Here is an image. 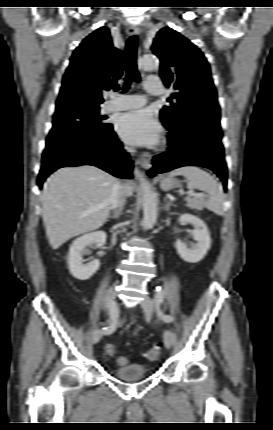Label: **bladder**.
Instances as JSON below:
<instances>
[{
  "label": "bladder",
  "mask_w": 273,
  "mask_h": 430,
  "mask_svg": "<svg viewBox=\"0 0 273 430\" xmlns=\"http://www.w3.org/2000/svg\"><path fill=\"white\" fill-rule=\"evenodd\" d=\"M113 374L122 381H136L147 376V369L142 364L132 363L118 367Z\"/></svg>",
  "instance_id": "1"
}]
</instances>
